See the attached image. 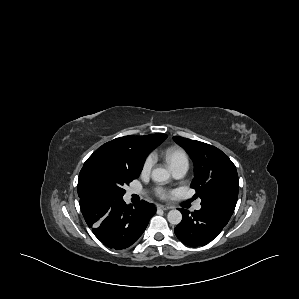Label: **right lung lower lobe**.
I'll list each match as a JSON object with an SVG mask.
<instances>
[{"label":"right lung lower lobe","instance_id":"obj_1","mask_svg":"<svg viewBox=\"0 0 299 299\" xmlns=\"http://www.w3.org/2000/svg\"><path fill=\"white\" fill-rule=\"evenodd\" d=\"M80 208L94 235L103 244L116 250L136 242L156 213L155 206L145 201L132 207L123 198L88 194L80 197Z\"/></svg>","mask_w":299,"mask_h":299}]
</instances>
